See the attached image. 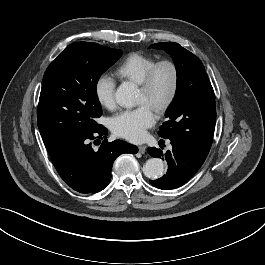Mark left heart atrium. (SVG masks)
Here are the masks:
<instances>
[{
    "mask_svg": "<svg viewBox=\"0 0 265 265\" xmlns=\"http://www.w3.org/2000/svg\"><path fill=\"white\" fill-rule=\"evenodd\" d=\"M155 123L153 109L141 104L135 109L126 110L115 115L110 122L112 131L132 142H140L146 137V130Z\"/></svg>",
    "mask_w": 265,
    "mask_h": 265,
    "instance_id": "1",
    "label": "left heart atrium"
}]
</instances>
